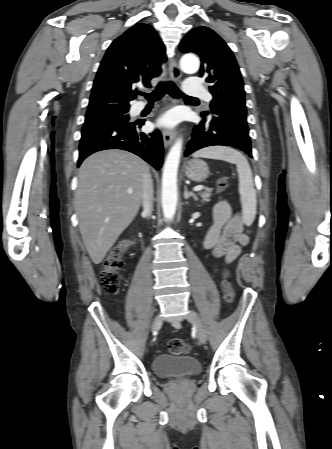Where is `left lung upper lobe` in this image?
<instances>
[{
  "label": "left lung upper lobe",
  "mask_w": 332,
  "mask_h": 449,
  "mask_svg": "<svg viewBox=\"0 0 332 449\" xmlns=\"http://www.w3.org/2000/svg\"><path fill=\"white\" fill-rule=\"evenodd\" d=\"M180 51L200 56V77L209 83L213 95L210 112H202L208 118L214 112L234 113L246 116L245 91L236 59L228 45L208 27L192 29L181 41Z\"/></svg>",
  "instance_id": "5c2ea615"
}]
</instances>
